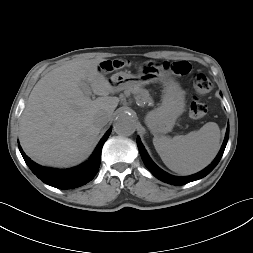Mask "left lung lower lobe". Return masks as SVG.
Segmentation results:
<instances>
[{
    "label": "left lung lower lobe",
    "instance_id": "1",
    "mask_svg": "<svg viewBox=\"0 0 253 253\" xmlns=\"http://www.w3.org/2000/svg\"><path fill=\"white\" fill-rule=\"evenodd\" d=\"M229 138V125L227 127V131L225 134V139L224 142L222 144V147L217 155V157L214 159V161L208 166L206 167L204 170H202L201 172H198L194 175L191 176H186V177H176V176H172L168 173H166L165 171H163L162 169H160L149 157L148 153L146 152L144 146L142 145L141 141L139 138H137V145L139 148V152L141 154L142 160L144 162V164L146 165V167L150 170V172L157 177L159 180L165 182V183H169L172 185H184L186 183L201 179L203 177H205L206 175H208L215 167L216 165L219 163L223 152L225 150L227 141Z\"/></svg>",
    "mask_w": 253,
    "mask_h": 253
}]
</instances>
